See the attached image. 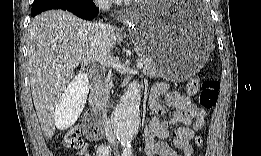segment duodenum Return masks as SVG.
<instances>
[{
    "label": "duodenum",
    "instance_id": "duodenum-1",
    "mask_svg": "<svg viewBox=\"0 0 261 156\" xmlns=\"http://www.w3.org/2000/svg\"><path fill=\"white\" fill-rule=\"evenodd\" d=\"M91 80L97 85L100 80V75L97 71H93L90 74ZM93 112H105V101L98 98L97 96L93 98ZM107 127V123H105V128Z\"/></svg>",
    "mask_w": 261,
    "mask_h": 156
}]
</instances>
